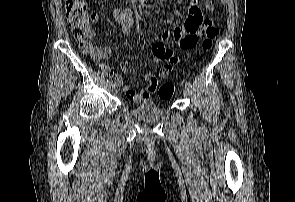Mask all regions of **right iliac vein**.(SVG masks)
Listing matches in <instances>:
<instances>
[{"label": "right iliac vein", "mask_w": 295, "mask_h": 202, "mask_svg": "<svg viewBox=\"0 0 295 202\" xmlns=\"http://www.w3.org/2000/svg\"><path fill=\"white\" fill-rule=\"evenodd\" d=\"M108 88L114 90L115 89V85L113 83L108 84Z\"/></svg>", "instance_id": "right-iliac-vein-1"}]
</instances>
